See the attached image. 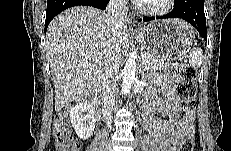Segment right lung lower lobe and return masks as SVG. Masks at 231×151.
Listing matches in <instances>:
<instances>
[{
    "label": "right lung lower lobe",
    "instance_id": "1",
    "mask_svg": "<svg viewBox=\"0 0 231 151\" xmlns=\"http://www.w3.org/2000/svg\"><path fill=\"white\" fill-rule=\"evenodd\" d=\"M109 0H48L45 20V33L50 21L61 11L73 6H92L98 9H106Z\"/></svg>",
    "mask_w": 231,
    "mask_h": 151
}]
</instances>
